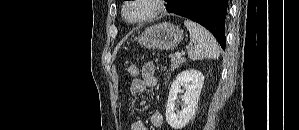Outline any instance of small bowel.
<instances>
[{"mask_svg":"<svg viewBox=\"0 0 299 130\" xmlns=\"http://www.w3.org/2000/svg\"><path fill=\"white\" fill-rule=\"evenodd\" d=\"M156 85L155 65L152 62H147L141 68L139 79L132 81L130 93L134 98L138 99L142 93L154 88ZM138 103L144 105L143 100H138ZM150 121L154 128H161L164 119L161 113L155 112L152 114ZM131 130H148V128L140 119H134L131 123Z\"/></svg>","mask_w":299,"mask_h":130,"instance_id":"c3829d8e","label":"small bowel"}]
</instances>
